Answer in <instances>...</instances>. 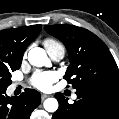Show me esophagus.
<instances>
[{
	"instance_id": "34e87169",
	"label": "esophagus",
	"mask_w": 119,
	"mask_h": 119,
	"mask_svg": "<svg viewBox=\"0 0 119 119\" xmlns=\"http://www.w3.org/2000/svg\"><path fill=\"white\" fill-rule=\"evenodd\" d=\"M48 96H49V95H47V94H41L42 100L46 99Z\"/></svg>"
}]
</instances>
